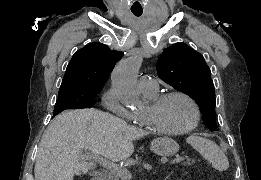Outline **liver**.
I'll return each mask as SVG.
<instances>
[{
  "label": "liver",
  "mask_w": 261,
  "mask_h": 180,
  "mask_svg": "<svg viewBox=\"0 0 261 180\" xmlns=\"http://www.w3.org/2000/svg\"><path fill=\"white\" fill-rule=\"evenodd\" d=\"M150 132L128 126L124 120L91 110H66L45 130L36 156L35 180H74L95 166L90 154L122 162L134 152V140ZM83 148L88 152L84 154Z\"/></svg>",
  "instance_id": "liver-1"
}]
</instances>
